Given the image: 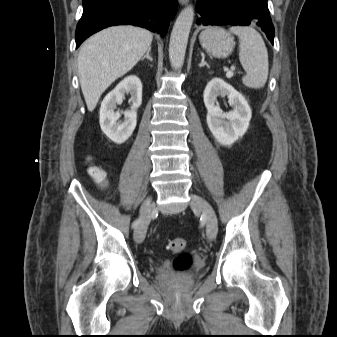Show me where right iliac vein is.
Wrapping results in <instances>:
<instances>
[{"mask_svg": "<svg viewBox=\"0 0 337 337\" xmlns=\"http://www.w3.org/2000/svg\"><path fill=\"white\" fill-rule=\"evenodd\" d=\"M154 208V203L151 197H148L140 208V222L134 230V240L137 243H142L146 236L147 227L150 220L151 212Z\"/></svg>", "mask_w": 337, "mask_h": 337, "instance_id": "obj_1", "label": "right iliac vein"}]
</instances>
